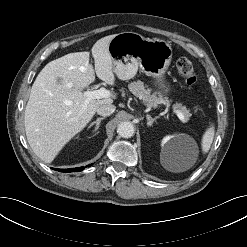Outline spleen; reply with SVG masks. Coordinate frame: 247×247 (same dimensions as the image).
<instances>
[{
  "label": "spleen",
  "instance_id": "3e777b00",
  "mask_svg": "<svg viewBox=\"0 0 247 247\" xmlns=\"http://www.w3.org/2000/svg\"><path fill=\"white\" fill-rule=\"evenodd\" d=\"M215 136V127L211 124L203 134L201 141V148L203 153H207L210 150L211 144Z\"/></svg>",
  "mask_w": 247,
  "mask_h": 247
}]
</instances>
